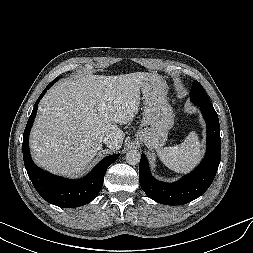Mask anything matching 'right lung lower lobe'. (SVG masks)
<instances>
[{
	"instance_id": "right-lung-lower-lobe-1",
	"label": "right lung lower lobe",
	"mask_w": 253,
	"mask_h": 253,
	"mask_svg": "<svg viewBox=\"0 0 253 253\" xmlns=\"http://www.w3.org/2000/svg\"><path fill=\"white\" fill-rule=\"evenodd\" d=\"M56 82H51L36 101L23 134V158L28 176L36 191L47 202L63 208H73L91 202L99 193L107 168L119 157V154L105 157L94 170L81 180H69L54 176L38 168L29 152V133L36 116L38 103L46 91Z\"/></svg>"
}]
</instances>
